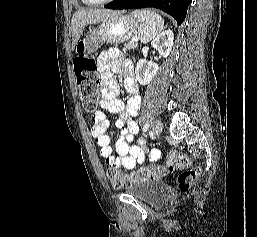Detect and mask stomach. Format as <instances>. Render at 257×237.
Returning a JSON list of instances; mask_svg holds the SVG:
<instances>
[{
	"label": "stomach",
	"instance_id": "stomach-1",
	"mask_svg": "<svg viewBox=\"0 0 257 237\" xmlns=\"http://www.w3.org/2000/svg\"><path fill=\"white\" fill-rule=\"evenodd\" d=\"M138 28V22L130 15L117 13L101 21L85 37L88 53L98 50L103 44L128 41Z\"/></svg>",
	"mask_w": 257,
	"mask_h": 237
}]
</instances>
